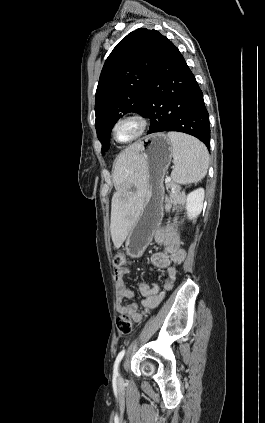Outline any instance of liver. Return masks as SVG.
<instances>
[{
	"label": "liver",
	"instance_id": "obj_1",
	"mask_svg": "<svg viewBox=\"0 0 265 423\" xmlns=\"http://www.w3.org/2000/svg\"><path fill=\"white\" fill-rule=\"evenodd\" d=\"M139 143H134L119 154L113 171L116 193L111 203L110 232L115 248H119L142 208L147 190L146 172L138 154ZM134 187L136 191L127 189Z\"/></svg>",
	"mask_w": 265,
	"mask_h": 423
}]
</instances>
